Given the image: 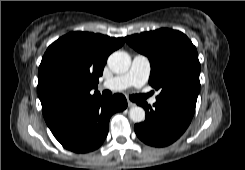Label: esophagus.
Listing matches in <instances>:
<instances>
[{"label": "esophagus", "mask_w": 245, "mask_h": 170, "mask_svg": "<svg viewBox=\"0 0 245 170\" xmlns=\"http://www.w3.org/2000/svg\"><path fill=\"white\" fill-rule=\"evenodd\" d=\"M135 105H136L135 103H133V102H131V101L128 100V107H133Z\"/></svg>", "instance_id": "obj_1"}]
</instances>
